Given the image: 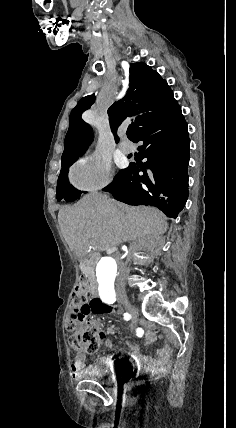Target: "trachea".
<instances>
[{"mask_svg": "<svg viewBox=\"0 0 236 428\" xmlns=\"http://www.w3.org/2000/svg\"><path fill=\"white\" fill-rule=\"evenodd\" d=\"M131 130H132V127H128V128H127V132H126V133H127V135H128V134H130Z\"/></svg>", "mask_w": 236, "mask_h": 428, "instance_id": "3493384b", "label": "trachea"}]
</instances>
